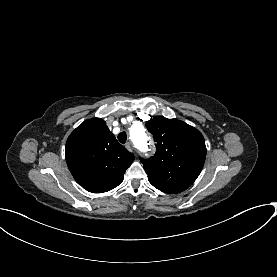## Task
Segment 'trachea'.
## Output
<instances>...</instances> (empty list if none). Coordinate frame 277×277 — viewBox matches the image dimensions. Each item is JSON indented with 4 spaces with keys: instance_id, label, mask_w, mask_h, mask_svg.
<instances>
[{
    "instance_id": "trachea-1",
    "label": "trachea",
    "mask_w": 277,
    "mask_h": 277,
    "mask_svg": "<svg viewBox=\"0 0 277 277\" xmlns=\"http://www.w3.org/2000/svg\"><path fill=\"white\" fill-rule=\"evenodd\" d=\"M118 140L124 144L127 140V135L125 132H121L119 135H118Z\"/></svg>"
}]
</instances>
